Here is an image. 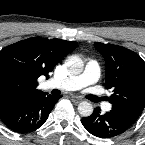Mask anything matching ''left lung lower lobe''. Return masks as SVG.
Instances as JSON below:
<instances>
[{"mask_svg": "<svg viewBox=\"0 0 145 145\" xmlns=\"http://www.w3.org/2000/svg\"><path fill=\"white\" fill-rule=\"evenodd\" d=\"M81 122L89 133L100 138L115 137L129 128L110 112L102 114L100 108H95L92 115L82 118Z\"/></svg>", "mask_w": 145, "mask_h": 145, "instance_id": "left-lung-lower-lobe-1", "label": "left lung lower lobe"}]
</instances>
